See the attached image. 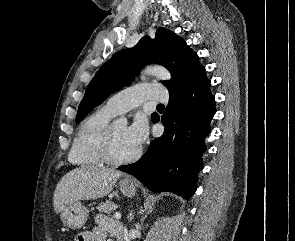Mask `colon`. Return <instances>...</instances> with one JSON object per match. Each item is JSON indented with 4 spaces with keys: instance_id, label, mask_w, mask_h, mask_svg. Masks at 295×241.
<instances>
[{
    "instance_id": "obj_1",
    "label": "colon",
    "mask_w": 295,
    "mask_h": 241,
    "mask_svg": "<svg viewBox=\"0 0 295 241\" xmlns=\"http://www.w3.org/2000/svg\"><path fill=\"white\" fill-rule=\"evenodd\" d=\"M76 241H83V237L81 236V234L76 237Z\"/></svg>"
}]
</instances>
